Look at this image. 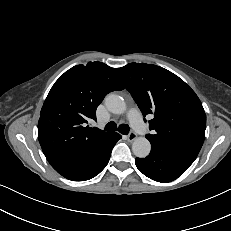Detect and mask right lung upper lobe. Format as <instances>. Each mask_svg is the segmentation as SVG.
<instances>
[{"label":"right lung upper lobe","instance_id":"right-lung-upper-lobe-1","mask_svg":"<svg viewBox=\"0 0 231 231\" xmlns=\"http://www.w3.org/2000/svg\"><path fill=\"white\" fill-rule=\"evenodd\" d=\"M124 87L117 68L101 62L77 65L52 86L38 122L43 153L56 170L91 154L113 132L86 126L111 91Z\"/></svg>","mask_w":231,"mask_h":231}]
</instances>
